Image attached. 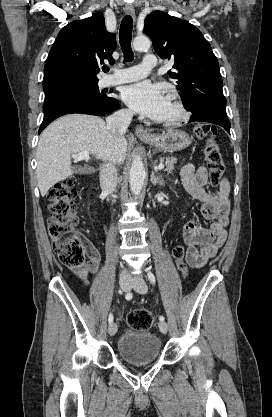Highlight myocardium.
<instances>
[{
	"label": "myocardium",
	"instance_id": "1",
	"mask_svg": "<svg viewBox=\"0 0 272 417\" xmlns=\"http://www.w3.org/2000/svg\"><path fill=\"white\" fill-rule=\"evenodd\" d=\"M168 99L173 103L177 110V114L173 118L158 119L157 123L164 127H177L186 122L190 117V112L183 101V99L177 93H171Z\"/></svg>",
	"mask_w": 272,
	"mask_h": 417
}]
</instances>
